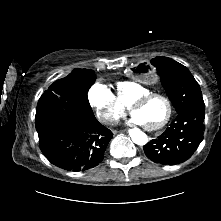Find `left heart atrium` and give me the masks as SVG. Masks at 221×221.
Listing matches in <instances>:
<instances>
[{
    "instance_id": "1",
    "label": "left heart atrium",
    "mask_w": 221,
    "mask_h": 221,
    "mask_svg": "<svg viewBox=\"0 0 221 221\" xmlns=\"http://www.w3.org/2000/svg\"><path fill=\"white\" fill-rule=\"evenodd\" d=\"M131 121L135 124H144L143 121L136 115H133Z\"/></svg>"
}]
</instances>
